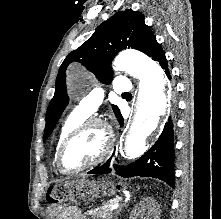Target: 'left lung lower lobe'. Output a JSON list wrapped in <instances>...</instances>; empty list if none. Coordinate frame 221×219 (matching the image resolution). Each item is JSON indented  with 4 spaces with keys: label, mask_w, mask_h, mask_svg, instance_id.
Segmentation results:
<instances>
[{
    "label": "left lung lower lobe",
    "mask_w": 221,
    "mask_h": 219,
    "mask_svg": "<svg viewBox=\"0 0 221 219\" xmlns=\"http://www.w3.org/2000/svg\"><path fill=\"white\" fill-rule=\"evenodd\" d=\"M152 59L158 61L165 70L170 79L168 71V62L165 54L159 45L152 55ZM120 126H123V118L119 120ZM116 174L122 177H154L165 181L171 187L175 185L174 174V134L171 119L165 124V127L155 144L136 162L124 167L117 164L113 165ZM110 168V159L102 166L89 171V174H108Z\"/></svg>",
    "instance_id": "left-lung-lower-lobe-1"
}]
</instances>
